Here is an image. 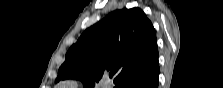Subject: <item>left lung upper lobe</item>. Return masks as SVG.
<instances>
[{"label": "left lung upper lobe", "mask_w": 223, "mask_h": 88, "mask_svg": "<svg viewBox=\"0 0 223 88\" xmlns=\"http://www.w3.org/2000/svg\"><path fill=\"white\" fill-rule=\"evenodd\" d=\"M158 59L155 29L139 8L111 12L88 28L66 54L55 82L80 79L94 88L103 74L125 88Z\"/></svg>", "instance_id": "obj_1"}]
</instances>
